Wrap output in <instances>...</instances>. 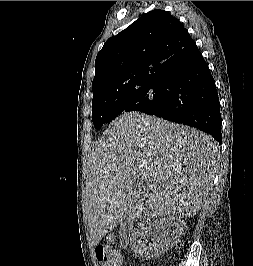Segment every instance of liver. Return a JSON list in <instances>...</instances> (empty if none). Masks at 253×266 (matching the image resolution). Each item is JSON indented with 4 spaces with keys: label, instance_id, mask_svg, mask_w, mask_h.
Listing matches in <instances>:
<instances>
[{
    "label": "liver",
    "instance_id": "6515ba94",
    "mask_svg": "<svg viewBox=\"0 0 253 266\" xmlns=\"http://www.w3.org/2000/svg\"><path fill=\"white\" fill-rule=\"evenodd\" d=\"M217 155V142L194 128L139 113L115 119L88 158L91 243L118 224L195 216L209 193Z\"/></svg>",
    "mask_w": 253,
    "mask_h": 266
}]
</instances>
